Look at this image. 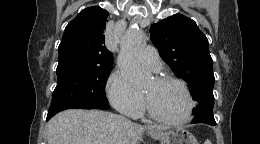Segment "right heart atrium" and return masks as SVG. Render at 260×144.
<instances>
[{"mask_svg":"<svg viewBox=\"0 0 260 144\" xmlns=\"http://www.w3.org/2000/svg\"><path fill=\"white\" fill-rule=\"evenodd\" d=\"M106 94L111 105L128 116H137L143 107L142 95L119 71H113L106 82Z\"/></svg>","mask_w":260,"mask_h":144,"instance_id":"1","label":"right heart atrium"}]
</instances>
